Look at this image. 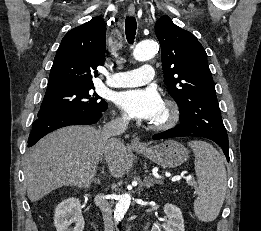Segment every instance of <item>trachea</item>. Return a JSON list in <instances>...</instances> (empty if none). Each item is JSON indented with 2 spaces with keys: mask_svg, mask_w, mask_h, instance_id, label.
Masks as SVG:
<instances>
[{
  "mask_svg": "<svg viewBox=\"0 0 261 231\" xmlns=\"http://www.w3.org/2000/svg\"><path fill=\"white\" fill-rule=\"evenodd\" d=\"M137 23L134 17H127L125 21V34L128 43L132 44L136 35Z\"/></svg>",
  "mask_w": 261,
  "mask_h": 231,
  "instance_id": "trachea-1",
  "label": "trachea"
}]
</instances>
